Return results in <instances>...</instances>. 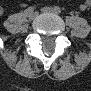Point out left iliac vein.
I'll return each mask as SVG.
<instances>
[{
  "label": "left iliac vein",
  "mask_w": 91,
  "mask_h": 91,
  "mask_svg": "<svg viewBox=\"0 0 91 91\" xmlns=\"http://www.w3.org/2000/svg\"><path fill=\"white\" fill-rule=\"evenodd\" d=\"M41 11L44 12V13H56V12L54 11V9L51 8V7H43V8L41 9Z\"/></svg>",
  "instance_id": "left-iliac-vein-1"
}]
</instances>
